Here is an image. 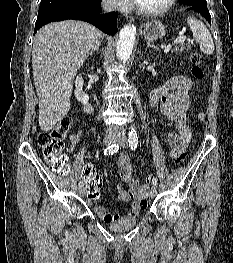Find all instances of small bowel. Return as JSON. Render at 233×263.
Segmentation results:
<instances>
[{
    "label": "small bowel",
    "mask_w": 233,
    "mask_h": 263,
    "mask_svg": "<svg viewBox=\"0 0 233 263\" xmlns=\"http://www.w3.org/2000/svg\"><path fill=\"white\" fill-rule=\"evenodd\" d=\"M192 86L193 82L191 79L176 74L156 87L150 94V105L158 109L175 125V130L170 131L168 134L171 158H175L179 153L185 152L192 137L191 129L187 124V111L190 106L189 92ZM82 138L83 134L81 131L71 134L67 151H74L75 147L81 143ZM117 167L121 180L128 185L127 189L122 185H118L117 198L121 202L132 201V208L128 215H136L146 206L148 186L140 184L134 178L132 163L127 154L119 156ZM83 171H94V169L92 166L87 165ZM88 202L93 203L94 200L88 199ZM93 211L105 223H112L121 218L119 214H111L100 205L94 206Z\"/></svg>",
    "instance_id": "1"
}]
</instances>
